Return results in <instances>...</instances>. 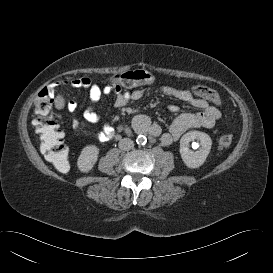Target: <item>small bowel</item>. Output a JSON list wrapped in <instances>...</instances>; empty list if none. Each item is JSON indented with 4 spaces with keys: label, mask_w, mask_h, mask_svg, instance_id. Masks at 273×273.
I'll return each mask as SVG.
<instances>
[{
    "label": "small bowel",
    "mask_w": 273,
    "mask_h": 273,
    "mask_svg": "<svg viewBox=\"0 0 273 273\" xmlns=\"http://www.w3.org/2000/svg\"><path fill=\"white\" fill-rule=\"evenodd\" d=\"M74 88L87 89L89 92L90 105L86 107L83 112V117L90 123H96L100 120V115L97 111V104L103 95L115 94L114 105L118 108L124 107L131 100L141 99L146 91L143 89H134L128 92H122L121 88L116 87L113 83H108L102 87L93 82L88 77L74 78L68 81ZM161 95L174 98L180 101L190 103L193 107L198 109V112L182 113L176 117L169 126L167 132L162 133L161 127L157 123H150L149 119L144 115H139L134 119L135 125L141 130H147L152 136H160V140L164 145H169L187 130L192 128H213L219 120L220 111L211 106L203 97L192 91L177 89L171 86H162L158 89ZM67 108L73 112L77 108V104L73 101L68 102ZM168 110L172 113L179 111L176 105L168 106ZM79 122L77 119L73 120V127L77 129ZM90 136L99 141H105L110 137L109 127H105L101 131L90 133Z\"/></svg>",
    "instance_id": "small-bowel-1"
}]
</instances>
